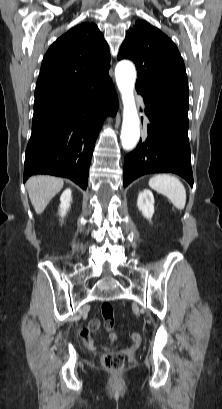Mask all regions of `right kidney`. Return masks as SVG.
Instances as JSON below:
<instances>
[{"label":"right kidney","mask_w":222,"mask_h":409,"mask_svg":"<svg viewBox=\"0 0 222 409\" xmlns=\"http://www.w3.org/2000/svg\"><path fill=\"white\" fill-rule=\"evenodd\" d=\"M72 201V191L70 189H66L61 197H60V208H59V214L61 217H64L70 208V203Z\"/></svg>","instance_id":"1"}]
</instances>
